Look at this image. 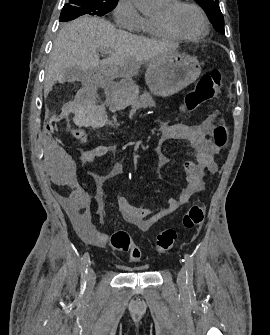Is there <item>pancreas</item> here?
<instances>
[{"mask_svg":"<svg viewBox=\"0 0 270 335\" xmlns=\"http://www.w3.org/2000/svg\"><path fill=\"white\" fill-rule=\"evenodd\" d=\"M131 106L132 110H140V108H152V106H155V102L149 92H143L142 96L136 98Z\"/></svg>","mask_w":270,"mask_h":335,"instance_id":"pancreas-1","label":"pancreas"}]
</instances>
